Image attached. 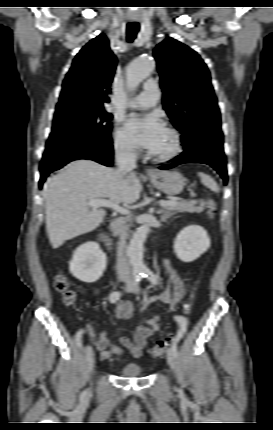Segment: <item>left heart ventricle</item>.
<instances>
[{
	"mask_svg": "<svg viewBox=\"0 0 273 430\" xmlns=\"http://www.w3.org/2000/svg\"><path fill=\"white\" fill-rule=\"evenodd\" d=\"M172 148V138L170 134L165 131L158 147L153 151L155 154H165L169 152Z\"/></svg>",
	"mask_w": 273,
	"mask_h": 430,
	"instance_id": "1",
	"label": "left heart ventricle"
}]
</instances>
